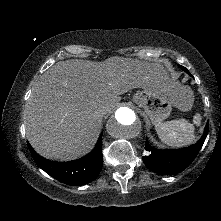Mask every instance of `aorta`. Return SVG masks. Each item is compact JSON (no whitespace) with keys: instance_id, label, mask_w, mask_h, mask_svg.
I'll list each match as a JSON object with an SVG mask.
<instances>
[{"instance_id":"1","label":"aorta","mask_w":221,"mask_h":221,"mask_svg":"<svg viewBox=\"0 0 221 221\" xmlns=\"http://www.w3.org/2000/svg\"><path fill=\"white\" fill-rule=\"evenodd\" d=\"M141 129L134 111L128 107H120L106 124L107 132L114 138L128 140L135 138Z\"/></svg>"}]
</instances>
